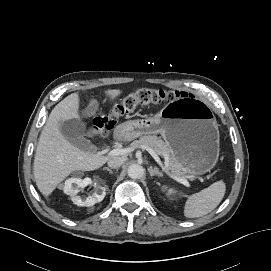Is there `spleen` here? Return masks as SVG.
I'll return each instance as SVG.
<instances>
[{"label":"spleen","instance_id":"spleen-1","mask_svg":"<svg viewBox=\"0 0 271 271\" xmlns=\"http://www.w3.org/2000/svg\"><path fill=\"white\" fill-rule=\"evenodd\" d=\"M226 191L223 181H217L208 188L188 196L184 206L186 218H198L213 211L222 201Z\"/></svg>","mask_w":271,"mask_h":271}]
</instances>
